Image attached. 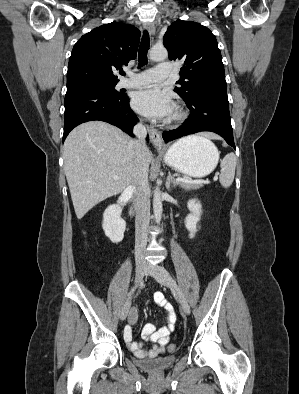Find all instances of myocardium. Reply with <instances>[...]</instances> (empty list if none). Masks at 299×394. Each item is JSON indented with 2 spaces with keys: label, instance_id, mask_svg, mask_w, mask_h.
Masks as SVG:
<instances>
[{
  "label": "myocardium",
  "instance_id": "f54148a6",
  "mask_svg": "<svg viewBox=\"0 0 299 394\" xmlns=\"http://www.w3.org/2000/svg\"><path fill=\"white\" fill-rule=\"evenodd\" d=\"M186 117L187 112L184 110V108L180 105H176L167 123L170 125H176L182 123L186 119Z\"/></svg>",
  "mask_w": 299,
  "mask_h": 394
}]
</instances>
